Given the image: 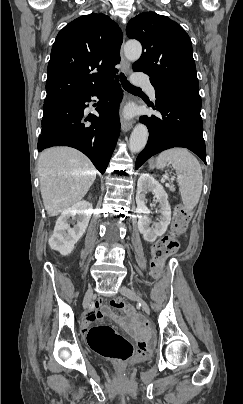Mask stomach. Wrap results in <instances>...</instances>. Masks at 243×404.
Wrapping results in <instances>:
<instances>
[{"label":"stomach","mask_w":243,"mask_h":404,"mask_svg":"<svg viewBox=\"0 0 243 404\" xmlns=\"http://www.w3.org/2000/svg\"><path fill=\"white\" fill-rule=\"evenodd\" d=\"M149 166H150L151 169H153V168H155V167H158V166H157V163H155L154 160H151V161L149 162Z\"/></svg>","instance_id":"stomach-1"}]
</instances>
